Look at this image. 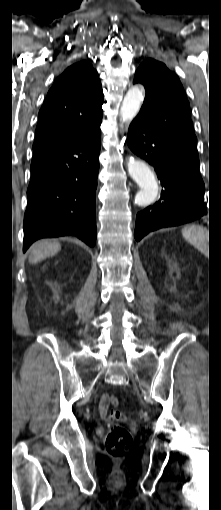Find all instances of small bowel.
Listing matches in <instances>:
<instances>
[{"label": "small bowel", "instance_id": "small-bowel-1", "mask_svg": "<svg viewBox=\"0 0 221 510\" xmlns=\"http://www.w3.org/2000/svg\"><path fill=\"white\" fill-rule=\"evenodd\" d=\"M111 397L112 396H110L109 394H103L97 404V409H98L100 416L106 421H109L108 415L112 411V410H110Z\"/></svg>", "mask_w": 221, "mask_h": 510}]
</instances>
